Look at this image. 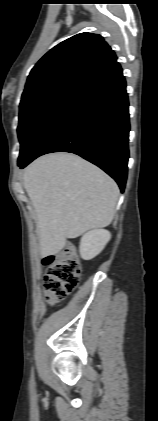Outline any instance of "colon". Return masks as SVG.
Segmentation results:
<instances>
[{"mask_svg": "<svg viewBox=\"0 0 158 421\" xmlns=\"http://www.w3.org/2000/svg\"><path fill=\"white\" fill-rule=\"evenodd\" d=\"M44 263L48 266L43 280L45 298L53 305L76 289L80 281L81 264L72 245L66 246L57 255L46 257Z\"/></svg>", "mask_w": 158, "mask_h": 421, "instance_id": "colon-1", "label": "colon"}]
</instances>
